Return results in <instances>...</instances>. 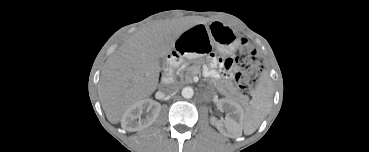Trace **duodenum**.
<instances>
[{"instance_id":"410a0bca","label":"duodenum","mask_w":369,"mask_h":152,"mask_svg":"<svg viewBox=\"0 0 369 152\" xmlns=\"http://www.w3.org/2000/svg\"><path fill=\"white\" fill-rule=\"evenodd\" d=\"M174 58L175 56L173 55L169 58V65L166 67V69L163 72L161 80L164 84H169L173 80V60Z\"/></svg>"}]
</instances>
